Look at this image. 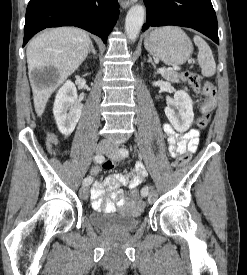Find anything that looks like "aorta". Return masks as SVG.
I'll return each instance as SVG.
<instances>
[{"mask_svg":"<svg viewBox=\"0 0 247 275\" xmlns=\"http://www.w3.org/2000/svg\"><path fill=\"white\" fill-rule=\"evenodd\" d=\"M145 9L142 5L132 6L125 19V32L132 42L139 36L140 30L144 23Z\"/></svg>","mask_w":247,"mask_h":275,"instance_id":"1","label":"aorta"}]
</instances>
